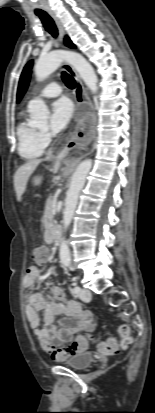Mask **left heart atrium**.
<instances>
[{"instance_id": "39dd6f15", "label": "left heart atrium", "mask_w": 155, "mask_h": 413, "mask_svg": "<svg viewBox=\"0 0 155 413\" xmlns=\"http://www.w3.org/2000/svg\"><path fill=\"white\" fill-rule=\"evenodd\" d=\"M73 116V105L66 99L62 98L55 101L52 105L51 113V130L53 133H59L69 124Z\"/></svg>"}]
</instances>
